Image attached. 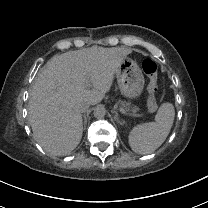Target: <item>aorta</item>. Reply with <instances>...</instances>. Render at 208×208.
<instances>
[{
	"label": "aorta",
	"instance_id": "aorta-1",
	"mask_svg": "<svg viewBox=\"0 0 208 208\" xmlns=\"http://www.w3.org/2000/svg\"><path fill=\"white\" fill-rule=\"evenodd\" d=\"M105 113H106V110H105V108L103 106L96 107L94 109V112H93L94 117L96 119H102V118H104L105 117Z\"/></svg>",
	"mask_w": 208,
	"mask_h": 208
}]
</instances>
